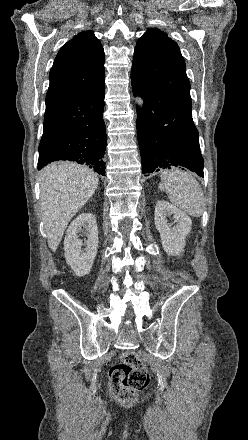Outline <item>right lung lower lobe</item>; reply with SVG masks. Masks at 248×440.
I'll use <instances>...</instances> for the list:
<instances>
[{"label": "right lung lower lobe", "mask_w": 248, "mask_h": 440, "mask_svg": "<svg viewBox=\"0 0 248 440\" xmlns=\"http://www.w3.org/2000/svg\"><path fill=\"white\" fill-rule=\"evenodd\" d=\"M105 86L46 104L38 170L58 160L76 161L105 175Z\"/></svg>", "instance_id": "obj_1"}]
</instances>
